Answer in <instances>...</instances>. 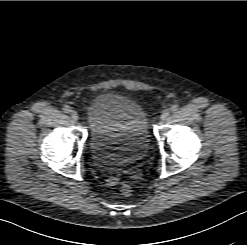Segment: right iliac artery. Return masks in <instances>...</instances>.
<instances>
[{
	"mask_svg": "<svg viewBox=\"0 0 247 245\" xmlns=\"http://www.w3.org/2000/svg\"><path fill=\"white\" fill-rule=\"evenodd\" d=\"M63 110L65 113H69L71 111L69 106H64Z\"/></svg>",
	"mask_w": 247,
	"mask_h": 245,
	"instance_id": "82829eb1",
	"label": "right iliac artery"
}]
</instances>
